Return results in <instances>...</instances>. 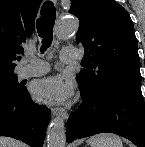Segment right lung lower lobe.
<instances>
[{"label": "right lung lower lobe", "instance_id": "98d812e1", "mask_svg": "<svg viewBox=\"0 0 145 147\" xmlns=\"http://www.w3.org/2000/svg\"><path fill=\"white\" fill-rule=\"evenodd\" d=\"M49 120V109L34 103L26 88L16 98L0 99V136L42 147Z\"/></svg>", "mask_w": 145, "mask_h": 147}]
</instances>
